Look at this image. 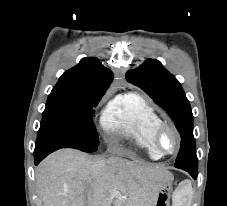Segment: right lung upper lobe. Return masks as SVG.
<instances>
[{
  "label": "right lung upper lobe",
  "instance_id": "right-lung-upper-lobe-1",
  "mask_svg": "<svg viewBox=\"0 0 227 206\" xmlns=\"http://www.w3.org/2000/svg\"><path fill=\"white\" fill-rule=\"evenodd\" d=\"M112 80V71L105 68L97 58H83L78 65L62 74L52 91L103 96Z\"/></svg>",
  "mask_w": 227,
  "mask_h": 206
}]
</instances>
